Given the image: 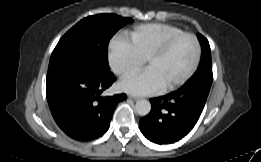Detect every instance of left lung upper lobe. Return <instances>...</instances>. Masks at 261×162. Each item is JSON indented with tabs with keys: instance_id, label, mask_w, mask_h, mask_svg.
Listing matches in <instances>:
<instances>
[{
	"instance_id": "obj_1",
	"label": "left lung upper lobe",
	"mask_w": 261,
	"mask_h": 162,
	"mask_svg": "<svg viewBox=\"0 0 261 162\" xmlns=\"http://www.w3.org/2000/svg\"><path fill=\"white\" fill-rule=\"evenodd\" d=\"M199 42L201 44V60L195 74L186 82H198L204 81L212 84L213 74H212V63H211V52L208 40L201 34H197Z\"/></svg>"
}]
</instances>
